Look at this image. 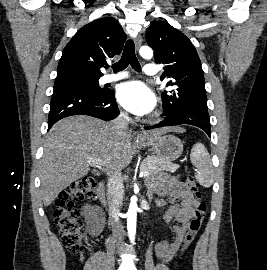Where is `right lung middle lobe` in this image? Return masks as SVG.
Wrapping results in <instances>:
<instances>
[{"mask_svg": "<svg viewBox=\"0 0 267 270\" xmlns=\"http://www.w3.org/2000/svg\"><path fill=\"white\" fill-rule=\"evenodd\" d=\"M99 77L83 75H62L55 79L54 90L70 89L95 93H105L107 89L98 86Z\"/></svg>", "mask_w": 267, "mask_h": 270, "instance_id": "dd1d6c3e", "label": "right lung middle lobe"}]
</instances>
